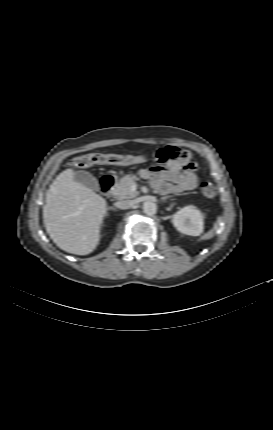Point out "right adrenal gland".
<instances>
[{
  "label": "right adrenal gland",
  "mask_w": 273,
  "mask_h": 430,
  "mask_svg": "<svg viewBox=\"0 0 273 430\" xmlns=\"http://www.w3.org/2000/svg\"><path fill=\"white\" fill-rule=\"evenodd\" d=\"M108 210L117 211V209H116V208H114V207H109V208H108Z\"/></svg>",
  "instance_id": "2a0ac1e0"
}]
</instances>
